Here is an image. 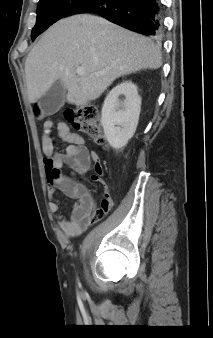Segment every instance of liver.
Listing matches in <instances>:
<instances>
[{"instance_id": "obj_1", "label": "liver", "mask_w": 213, "mask_h": 338, "mask_svg": "<svg viewBox=\"0 0 213 338\" xmlns=\"http://www.w3.org/2000/svg\"><path fill=\"white\" fill-rule=\"evenodd\" d=\"M161 65L160 47L150 38L98 16L74 15L52 25L28 54V99L37 102L60 80L68 103L86 105L120 76ZM78 67L84 75H77Z\"/></svg>"}]
</instances>
